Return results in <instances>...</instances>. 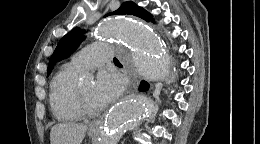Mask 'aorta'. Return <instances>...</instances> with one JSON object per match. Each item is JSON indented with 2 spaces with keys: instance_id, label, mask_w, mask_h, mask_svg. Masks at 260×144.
Segmentation results:
<instances>
[{
  "instance_id": "762f6f07",
  "label": "aorta",
  "mask_w": 260,
  "mask_h": 144,
  "mask_svg": "<svg viewBox=\"0 0 260 144\" xmlns=\"http://www.w3.org/2000/svg\"><path fill=\"white\" fill-rule=\"evenodd\" d=\"M97 34L125 45L127 49L121 48L119 56L140 76L152 81L165 77L166 47L144 21L132 17L109 18L99 26ZM86 77L92 76L88 73ZM152 105L153 101L145 95L131 96L119 102L109 112L98 144H117L126 130L137 127L149 117Z\"/></svg>"
}]
</instances>
